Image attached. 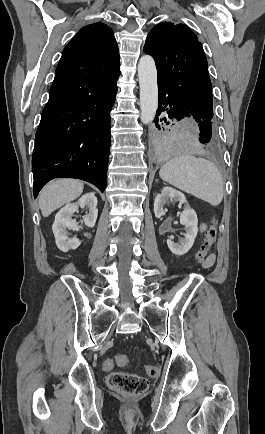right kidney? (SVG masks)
Returning a JSON list of instances; mask_svg holds the SVG:
<instances>
[{
  "label": "right kidney",
  "instance_id": "right-kidney-1",
  "mask_svg": "<svg viewBox=\"0 0 265 434\" xmlns=\"http://www.w3.org/2000/svg\"><path fill=\"white\" fill-rule=\"evenodd\" d=\"M84 206H87L89 214L83 218V222L88 228H94L98 216L95 192L84 194L75 204H66V206L61 208L60 212L56 214L52 230L55 236L56 246L61 252L76 250V248L80 246L81 242H79L78 238H68L67 230H76V232H79L80 228H82V226H78L76 220H73V214L78 212V208H84Z\"/></svg>",
  "mask_w": 265,
  "mask_h": 434
}]
</instances>
